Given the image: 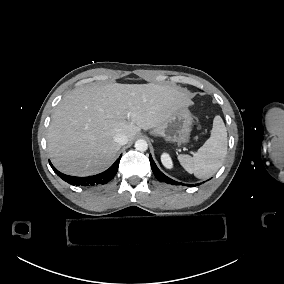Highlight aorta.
<instances>
[{"instance_id": "762f6f07", "label": "aorta", "mask_w": 284, "mask_h": 284, "mask_svg": "<svg viewBox=\"0 0 284 284\" xmlns=\"http://www.w3.org/2000/svg\"><path fill=\"white\" fill-rule=\"evenodd\" d=\"M148 148V144L145 140L139 139L135 142V149L141 152L146 151Z\"/></svg>"}]
</instances>
